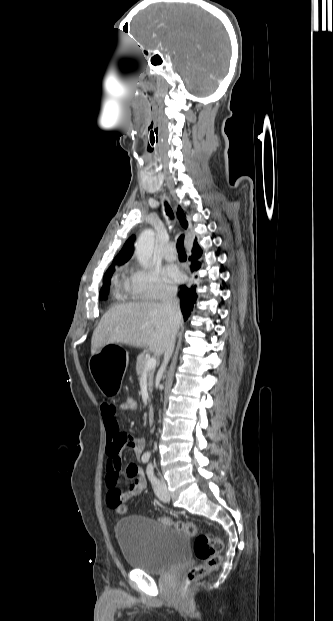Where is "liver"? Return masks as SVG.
I'll list each match as a JSON object with an SVG mask.
<instances>
[{
	"label": "liver",
	"instance_id": "obj_1",
	"mask_svg": "<svg viewBox=\"0 0 333 621\" xmlns=\"http://www.w3.org/2000/svg\"><path fill=\"white\" fill-rule=\"evenodd\" d=\"M181 314L179 317L181 324ZM170 321L161 303L133 302L112 307L101 318L91 339V354L108 344L149 347L156 355L165 351Z\"/></svg>",
	"mask_w": 333,
	"mask_h": 621
}]
</instances>
